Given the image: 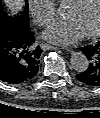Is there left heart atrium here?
Here are the masks:
<instances>
[{"label":"left heart atrium","mask_w":100,"mask_h":118,"mask_svg":"<svg viewBox=\"0 0 100 118\" xmlns=\"http://www.w3.org/2000/svg\"><path fill=\"white\" fill-rule=\"evenodd\" d=\"M82 31L72 19L58 20L52 22L44 31L43 36L55 44H72L81 36Z\"/></svg>","instance_id":"obj_1"}]
</instances>
